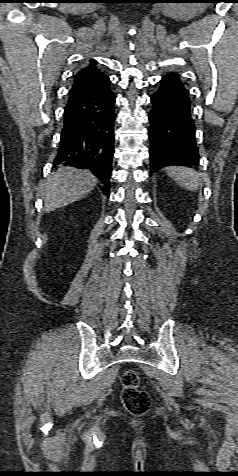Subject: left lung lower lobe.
Returning <instances> with one entry per match:
<instances>
[{"mask_svg":"<svg viewBox=\"0 0 238 476\" xmlns=\"http://www.w3.org/2000/svg\"><path fill=\"white\" fill-rule=\"evenodd\" d=\"M151 103L148 115L151 173L170 165L198 164L191 101L177 73L162 78L159 88L151 96Z\"/></svg>","mask_w":238,"mask_h":476,"instance_id":"1","label":"left lung lower lobe"}]
</instances>
